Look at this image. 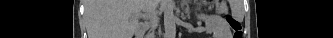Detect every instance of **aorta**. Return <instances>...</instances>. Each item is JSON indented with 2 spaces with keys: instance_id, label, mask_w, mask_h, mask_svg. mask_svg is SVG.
<instances>
[{
  "instance_id": "aorta-1",
  "label": "aorta",
  "mask_w": 333,
  "mask_h": 38,
  "mask_svg": "<svg viewBox=\"0 0 333 38\" xmlns=\"http://www.w3.org/2000/svg\"><path fill=\"white\" fill-rule=\"evenodd\" d=\"M164 11V27L166 38H175L176 36V17L174 15V0H162Z\"/></svg>"
}]
</instances>
